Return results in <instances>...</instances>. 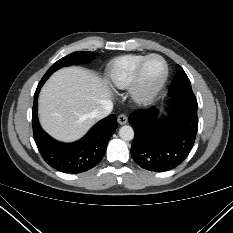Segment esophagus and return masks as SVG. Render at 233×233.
I'll use <instances>...</instances> for the list:
<instances>
[{
  "label": "esophagus",
  "instance_id": "34e87169",
  "mask_svg": "<svg viewBox=\"0 0 233 233\" xmlns=\"http://www.w3.org/2000/svg\"><path fill=\"white\" fill-rule=\"evenodd\" d=\"M117 121L120 125H124L128 122V117L125 114H121L118 116Z\"/></svg>",
  "mask_w": 233,
  "mask_h": 233
}]
</instances>
